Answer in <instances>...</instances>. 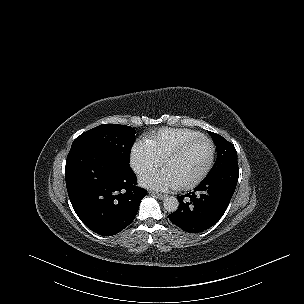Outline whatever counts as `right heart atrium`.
I'll list each match as a JSON object with an SVG mask.
<instances>
[{
    "instance_id": "right-heart-atrium-1",
    "label": "right heart atrium",
    "mask_w": 304,
    "mask_h": 304,
    "mask_svg": "<svg viewBox=\"0 0 304 304\" xmlns=\"http://www.w3.org/2000/svg\"><path fill=\"white\" fill-rule=\"evenodd\" d=\"M131 165L138 171L151 170L157 166L158 157L149 146L142 141L137 142L131 151Z\"/></svg>"
}]
</instances>
